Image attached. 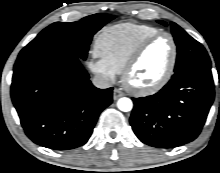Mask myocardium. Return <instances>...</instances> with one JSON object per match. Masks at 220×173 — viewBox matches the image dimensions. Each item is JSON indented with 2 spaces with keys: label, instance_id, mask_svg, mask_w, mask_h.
Wrapping results in <instances>:
<instances>
[{
  "label": "myocardium",
  "instance_id": "myocardium-1",
  "mask_svg": "<svg viewBox=\"0 0 220 173\" xmlns=\"http://www.w3.org/2000/svg\"><path fill=\"white\" fill-rule=\"evenodd\" d=\"M160 37H167L171 43V58H170V63H169L167 70L165 71L163 76L157 82H155L154 84H152L150 86L136 87V86L132 85L129 81V76H130L131 72L133 71V69L137 65V63L140 60L145 49L152 42H154L155 40H157ZM177 55H178L177 44H176V41H175L174 37L172 36V34L165 32V31H159V32L145 38L137 45V47L135 48V50L133 51V53L131 54V56L129 57L128 61L126 62L125 66L123 68L122 81H123L124 86L130 92H132L133 94H135L137 96H149V95H153V94L157 93L171 79V77L174 73L175 67H176Z\"/></svg>",
  "mask_w": 220,
  "mask_h": 173
}]
</instances>
